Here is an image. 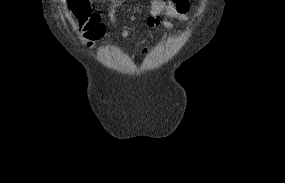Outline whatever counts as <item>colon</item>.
<instances>
[{
	"label": "colon",
	"instance_id": "obj_1",
	"mask_svg": "<svg viewBox=\"0 0 285 183\" xmlns=\"http://www.w3.org/2000/svg\"><path fill=\"white\" fill-rule=\"evenodd\" d=\"M177 9L187 11L183 5L187 0H173ZM69 7L78 21L79 27L89 44L102 38L104 27L97 14L91 11L89 0H68Z\"/></svg>",
	"mask_w": 285,
	"mask_h": 183
}]
</instances>
